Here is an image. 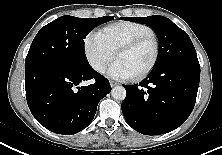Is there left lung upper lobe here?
Wrapping results in <instances>:
<instances>
[{
  "mask_svg": "<svg viewBox=\"0 0 222 155\" xmlns=\"http://www.w3.org/2000/svg\"><path fill=\"white\" fill-rule=\"evenodd\" d=\"M122 19L146 24L156 32L159 39V53L153 70L175 63L200 66L195 48L188 34L170 19L159 15L123 17Z\"/></svg>",
  "mask_w": 222,
  "mask_h": 155,
  "instance_id": "5c2ea615",
  "label": "left lung upper lobe"
}]
</instances>
